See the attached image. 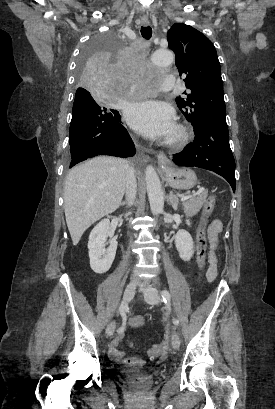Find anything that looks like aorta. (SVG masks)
<instances>
[{
    "label": "aorta",
    "mask_w": 275,
    "mask_h": 409,
    "mask_svg": "<svg viewBox=\"0 0 275 409\" xmlns=\"http://www.w3.org/2000/svg\"><path fill=\"white\" fill-rule=\"evenodd\" d=\"M150 65H167L174 60L173 52L170 50L148 51L147 54ZM146 188L150 202V209L153 215L162 213L164 207V196L161 188L160 178L153 166L149 164L145 170Z\"/></svg>",
    "instance_id": "obj_1"
}]
</instances>
